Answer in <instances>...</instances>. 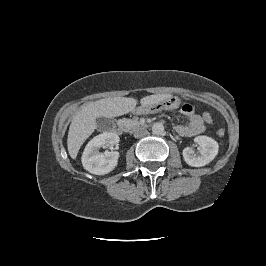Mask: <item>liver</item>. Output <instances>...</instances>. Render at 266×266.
Wrapping results in <instances>:
<instances>
[{"instance_id": "liver-1", "label": "liver", "mask_w": 266, "mask_h": 266, "mask_svg": "<svg viewBox=\"0 0 266 266\" xmlns=\"http://www.w3.org/2000/svg\"><path fill=\"white\" fill-rule=\"evenodd\" d=\"M170 94H155L144 97L143 106L161 102L170 98ZM137 100L127 97H114L90 102L77 112L69 127L67 147L72 159L77 157L80 147L97 127L96 119L100 116L114 118L133 111Z\"/></svg>"}]
</instances>
